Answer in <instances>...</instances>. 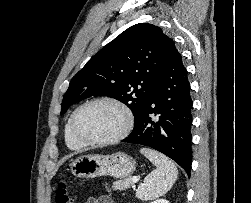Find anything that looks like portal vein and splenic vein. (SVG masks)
Listing matches in <instances>:
<instances>
[{
  "mask_svg": "<svg viewBox=\"0 0 251 203\" xmlns=\"http://www.w3.org/2000/svg\"><path fill=\"white\" fill-rule=\"evenodd\" d=\"M132 181H133V183H137L138 182V178L137 177H133Z\"/></svg>",
  "mask_w": 251,
  "mask_h": 203,
  "instance_id": "portal-vein-and-splenic-vein-1",
  "label": "portal vein and splenic vein"
}]
</instances>
